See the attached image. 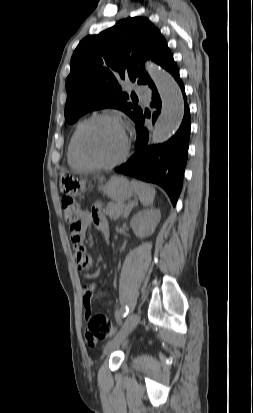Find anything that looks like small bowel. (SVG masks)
<instances>
[{"label": "small bowel", "mask_w": 253, "mask_h": 413, "mask_svg": "<svg viewBox=\"0 0 253 413\" xmlns=\"http://www.w3.org/2000/svg\"><path fill=\"white\" fill-rule=\"evenodd\" d=\"M90 225H94L100 232L102 238L107 241L110 236L109 224L100 206H95L92 210H85L81 214V219L77 227H71V241L73 243V258L78 270H86L92 264L91 256L86 252L84 241L85 233ZM98 287L95 284L86 283L82 287L83 305L89 313L93 299L96 296ZM88 342V341H87ZM90 346H95L96 342Z\"/></svg>", "instance_id": "obj_1"}]
</instances>
